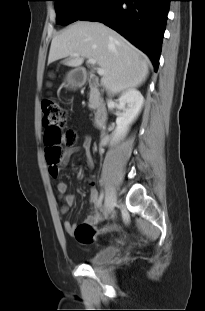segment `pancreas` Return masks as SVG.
<instances>
[{"mask_svg":"<svg viewBox=\"0 0 205 311\" xmlns=\"http://www.w3.org/2000/svg\"><path fill=\"white\" fill-rule=\"evenodd\" d=\"M97 105H98V94H96L95 92H91L88 107L91 110H95L97 108Z\"/></svg>","mask_w":205,"mask_h":311,"instance_id":"1","label":"pancreas"}]
</instances>
